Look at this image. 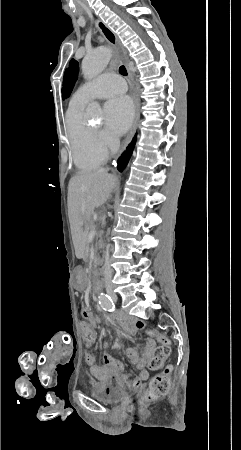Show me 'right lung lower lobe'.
<instances>
[{
	"label": "right lung lower lobe",
	"instance_id": "98d812e1",
	"mask_svg": "<svg viewBox=\"0 0 241 450\" xmlns=\"http://www.w3.org/2000/svg\"><path fill=\"white\" fill-rule=\"evenodd\" d=\"M136 138H137V136H135L133 138L131 143L126 148V151L121 155V157L117 161V169L120 172L123 171V169L126 167L128 161H129V159H130V157L132 155V151H133L135 143H136Z\"/></svg>",
	"mask_w": 241,
	"mask_h": 450
}]
</instances>
